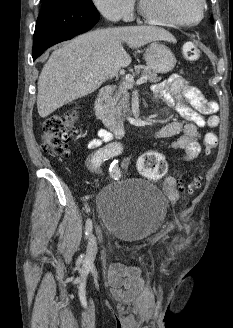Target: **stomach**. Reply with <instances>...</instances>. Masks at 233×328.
<instances>
[{
    "label": "stomach",
    "mask_w": 233,
    "mask_h": 328,
    "mask_svg": "<svg viewBox=\"0 0 233 328\" xmlns=\"http://www.w3.org/2000/svg\"><path fill=\"white\" fill-rule=\"evenodd\" d=\"M145 60L149 68L156 73H167L176 65V58L169 47L154 41L145 50Z\"/></svg>",
    "instance_id": "1"
}]
</instances>
